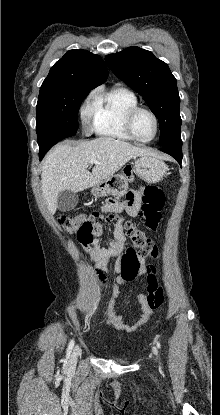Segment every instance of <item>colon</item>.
<instances>
[{"instance_id":"obj_1","label":"colon","mask_w":220,"mask_h":415,"mask_svg":"<svg viewBox=\"0 0 220 415\" xmlns=\"http://www.w3.org/2000/svg\"><path fill=\"white\" fill-rule=\"evenodd\" d=\"M164 203V194L156 186L145 188L143 204L141 208L143 222L148 230H157L161 220V209ZM112 216L104 217L99 212L80 213L76 215H60L57 218L60 229L67 233L82 231L87 239L91 238L93 227L97 222L104 218L110 219ZM125 228L131 239L132 246L129 247L121 258L122 277L126 281H132L140 268L141 259H157L160 255L158 246L150 240L145 232L131 221L125 222ZM154 267L149 266L147 278V301L154 308H159L163 303V293L158 286L154 275Z\"/></svg>"}]
</instances>
